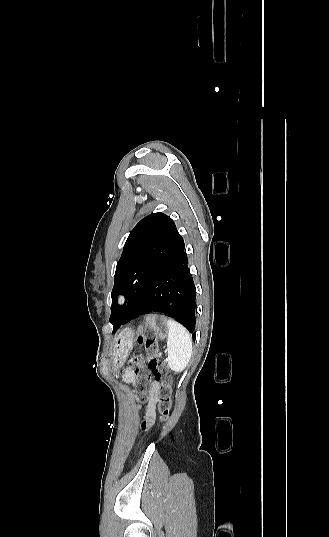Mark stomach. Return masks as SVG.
<instances>
[{
	"label": "stomach",
	"mask_w": 329,
	"mask_h": 537,
	"mask_svg": "<svg viewBox=\"0 0 329 537\" xmlns=\"http://www.w3.org/2000/svg\"><path fill=\"white\" fill-rule=\"evenodd\" d=\"M153 333L158 339H164L169 332L168 319L164 315L151 314L146 316L145 323L139 325L137 330L125 329L115 340L112 349L111 357L113 369L116 370L123 366L127 356L132 350L136 335H147Z\"/></svg>",
	"instance_id": "1"
}]
</instances>
